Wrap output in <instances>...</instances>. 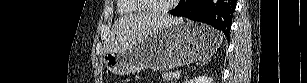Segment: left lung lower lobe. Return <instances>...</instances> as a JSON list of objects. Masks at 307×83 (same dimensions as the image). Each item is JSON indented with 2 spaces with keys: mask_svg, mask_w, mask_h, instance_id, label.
<instances>
[{
  "mask_svg": "<svg viewBox=\"0 0 307 83\" xmlns=\"http://www.w3.org/2000/svg\"><path fill=\"white\" fill-rule=\"evenodd\" d=\"M235 8V0H180L170 14L209 24L229 39Z\"/></svg>",
  "mask_w": 307,
  "mask_h": 83,
  "instance_id": "0a47b994",
  "label": "left lung lower lobe"
}]
</instances>
